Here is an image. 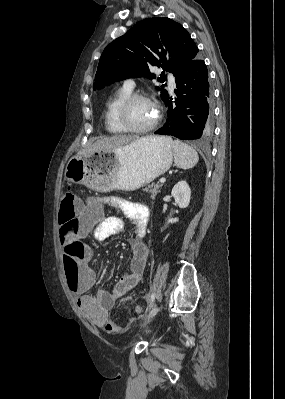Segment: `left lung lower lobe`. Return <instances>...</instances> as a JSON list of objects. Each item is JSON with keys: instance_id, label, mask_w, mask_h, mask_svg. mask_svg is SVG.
Returning <instances> with one entry per match:
<instances>
[{"instance_id": "1", "label": "left lung lower lobe", "mask_w": 285, "mask_h": 399, "mask_svg": "<svg viewBox=\"0 0 285 399\" xmlns=\"http://www.w3.org/2000/svg\"><path fill=\"white\" fill-rule=\"evenodd\" d=\"M175 77L176 106L168 97V119L155 134L172 135L183 140H205L213 131L212 91L205 62L196 55Z\"/></svg>"}]
</instances>
